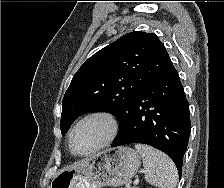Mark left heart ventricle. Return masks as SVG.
<instances>
[{
    "instance_id": "obj_1",
    "label": "left heart ventricle",
    "mask_w": 224,
    "mask_h": 188,
    "mask_svg": "<svg viewBox=\"0 0 224 188\" xmlns=\"http://www.w3.org/2000/svg\"><path fill=\"white\" fill-rule=\"evenodd\" d=\"M109 125L102 118L84 121L76 130L73 146L76 152L84 153L98 146L108 135Z\"/></svg>"
}]
</instances>
